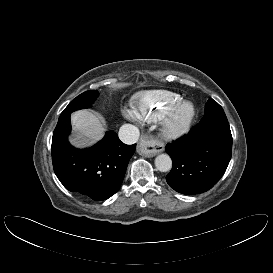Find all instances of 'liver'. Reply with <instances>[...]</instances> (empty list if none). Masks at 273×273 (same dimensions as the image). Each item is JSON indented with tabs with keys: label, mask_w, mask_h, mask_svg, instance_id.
I'll list each match as a JSON object with an SVG mask.
<instances>
[{
	"label": "liver",
	"mask_w": 273,
	"mask_h": 273,
	"mask_svg": "<svg viewBox=\"0 0 273 273\" xmlns=\"http://www.w3.org/2000/svg\"><path fill=\"white\" fill-rule=\"evenodd\" d=\"M71 121L79 137L71 139L77 147L91 145L104 136L105 128L101 121L87 110H79L71 115Z\"/></svg>",
	"instance_id": "obj_1"
}]
</instances>
